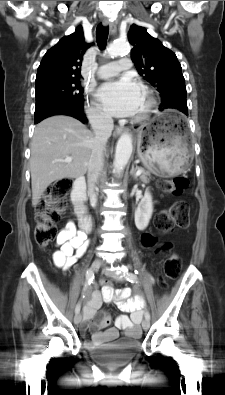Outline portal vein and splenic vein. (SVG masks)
I'll list each match as a JSON object with an SVG mask.
<instances>
[{
	"label": "portal vein and splenic vein",
	"mask_w": 225,
	"mask_h": 395,
	"mask_svg": "<svg viewBox=\"0 0 225 395\" xmlns=\"http://www.w3.org/2000/svg\"><path fill=\"white\" fill-rule=\"evenodd\" d=\"M63 162H71L72 161V157H66L64 160H62ZM142 173L141 169L137 170V175H140Z\"/></svg>",
	"instance_id": "1"
}]
</instances>
